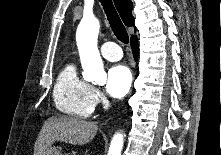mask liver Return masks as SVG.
<instances>
[{
  "mask_svg": "<svg viewBox=\"0 0 221 155\" xmlns=\"http://www.w3.org/2000/svg\"><path fill=\"white\" fill-rule=\"evenodd\" d=\"M98 126L93 122L57 115L48 118L35 142L34 155H44L55 142H65L72 145H84L96 135Z\"/></svg>",
  "mask_w": 221,
  "mask_h": 155,
  "instance_id": "obj_1",
  "label": "liver"
}]
</instances>
